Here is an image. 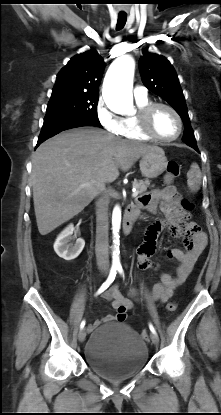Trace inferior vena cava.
<instances>
[{
	"label": "inferior vena cava",
	"instance_id": "602c4592",
	"mask_svg": "<svg viewBox=\"0 0 221 415\" xmlns=\"http://www.w3.org/2000/svg\"><path fill=\"white\" fill-rule=\"evenodd\" d=\"M100 197L96 203V260L99 268L109 267L108 258V200L100 190Z\"/></svg>",
	"mask_w": 221,
	"mask_h": 415
}]
</instances>
